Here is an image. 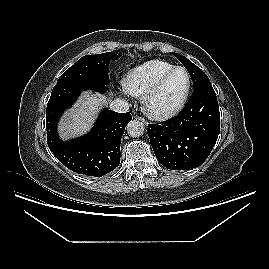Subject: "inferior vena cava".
<instances>
[{"instance_id":"inferior-vena-cava-1","label":"inferior vena cava","mask_w":269,"mask_h":269,"mask_svg":"<svg viewBox=\"0 0 269 269\" xmlns=\"http://www.w3.org/2000/svg\"><path fill=\"white\" fill-rule=\"evenodd\" d=\"M110 109L118 113H126L129 109V104L125 100L116 99L109 105Z\"/></svg>"}]
</instances>
